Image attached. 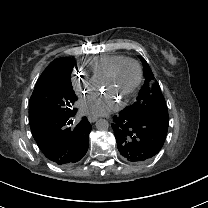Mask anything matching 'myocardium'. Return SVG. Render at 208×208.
Returning <instances> with one entry per match:
<instances>
[{
	"label": "myocardium",
	"instance_id": "f54148a6",
	"mask_svg": "<svg viewBox=\"0 0 208 208\" xmlns=\"http://www.w3.org/2000/svg\"><path fill=\"white\" fill-rule=\"evenodd\" d=\"M125 62H130L135 66L137 75H136V81H135L134 85L132 86V88L130 89L128 94L123 98L120 105L125 104V102H127L130 98H132L135 95V93L137 92V90L139 89V87L141 86V83L143 81V69H142L141 64L134 58L123 57L113 66L111 71L103 79H101L98 82L99 87L111 84L112 81L114 80V77L116 75L118 68L120 67L121 64H123Z\"/></svg>",
	"mask_w": 208,
	"mask_h": 208
}]
</instances>
